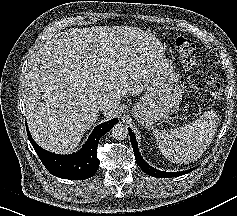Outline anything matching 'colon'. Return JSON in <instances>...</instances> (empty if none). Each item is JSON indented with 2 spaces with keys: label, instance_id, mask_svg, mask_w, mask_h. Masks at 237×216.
<instances>
[{
  "label": "colon",
  "instance_id": "obj_1",
  "mask_svg": "<svg viewBox=\"0 0 237 216\" xmlns=\"http://www.w3.org/2000/svg\"><path fill=\"white\" fill-rule=\"evenodd\" d=\"M175 46L184 65L193 67L196 63V48L194 42L191 39L180 36L176 39ZM219 92V85H216V95H219Z\"/></svg>",
  "mask_w": 237,
  "mask_h": 216
}]
</instances>
